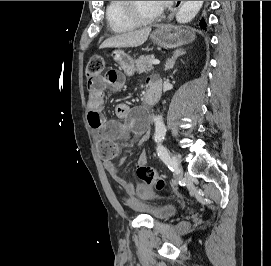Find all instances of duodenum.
I'll list each match as a JSON object with an SVG mask.
<instances>
[{
	"label": "duodenum",
	"mask_w": 271,
	"mask_h": 266,
	"mask_svg": "<svg viewBox=\"0 0 271 266\" xmlns=\"http://www.w3.org/2000/svg\"><path fill=\"white\" fill-rule=\"evenodd\" d=\"M160 88L155 83H150L145 94V102L148 105H154L160 98Z\"/></svg>",
	"instance_id": "duodenum-1"
}]
</instances>
